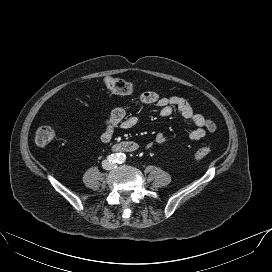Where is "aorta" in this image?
I'll return each instance as SVG.
<instances>
[{"instance_id": "1", "label": "aorta", "mask_w": 272, "mask_h": 272, "mask_svg": "<svg viewBox=\"0 0 272 272\" xmlns=\"http://www.w3.org/2000/svg\"><path fill=\"white\" fill-rule=\"evenodd\" d=\"M126 159V155L124 153H117L116 155V161L118 163H123Z\"/></svg>"}]
</instances>
